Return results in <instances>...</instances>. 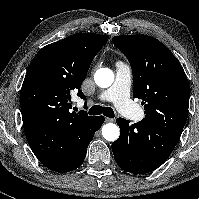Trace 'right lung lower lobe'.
<instances>
[{"label": "right lung lower lobe", "instance_id": "1", "mask_svg": "<svg viewBox=\"0 0 199 199\" xmlns=\"http://www.w3.org/2000/svg\"><path fill=\"white\" fill-rule=\"evenodd\" d=\"M104 122L103 116L94 117L88 124L74 132L61 148L57 156L49 154L51 147L48 136L37 129L25 130L29 145L39 161L55 172L64 173L75 170L84 161L87 147L97 130Z\"/></svg>", "mask_w": 199, "mask_h": 199}]
</instances>
